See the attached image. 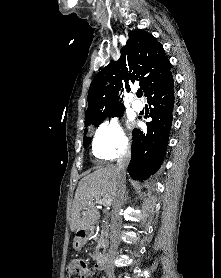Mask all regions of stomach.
Wrapping results in <instances>:
<instances>
[{"label": "stomach", "instance_id": "obj_1", "mask_svg": "<svg viewBox=\"0 0 221 278\" xmlns=\"http://www.w3.org/2000/svg\"><path fill=\"white\" fill-rule=\"evenodd\" d=\"M86 241H87V237L81 236V235H76V237L74 238V241H73V248L76 251H80L81 248L86 243Z\"/></svg>", "mask_w": 221, "mask_h": 278}]
</instances>
